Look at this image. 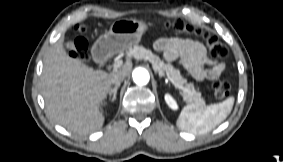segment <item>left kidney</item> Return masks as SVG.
Returning a JSON list of instances; mask_svg holds the SVG:
<instances>
[{"label": "left kidney", "instance_id": "1", "mask_svg": "<svg viewBox=\"0 0 283 162\" xmlns=\"http://www.w3.org/2000/svg\"><path fill=\"white\" fill-rule=\"evenodd\" d=\"M165 101L171 109H173V110L178 109V105H177L176 101L173 99V97L170 94L165 95Z\"/></svg>", "mask_w": 283, "mask_h": 162}]
</instances>
